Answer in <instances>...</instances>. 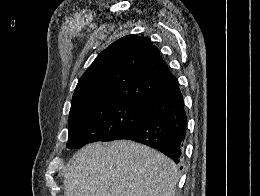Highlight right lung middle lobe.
<instances>
[{
    "label": "right lung middle lobe",
    "mask_w": 260,
    "mask_h": 196,
    "mask_svg": "<svg viewBox=\"0 0 260 196\" xmlns=\"http://www.w3.org/2000/svg\"><path fill=\"white\" fill-rule=\"evenodd\" d=\"M150 118L140 103L124 98L71 106L66 147L76 149L96 141H112Z\"/></svg>",
    "instance_id": "1"
}]
</instances>
